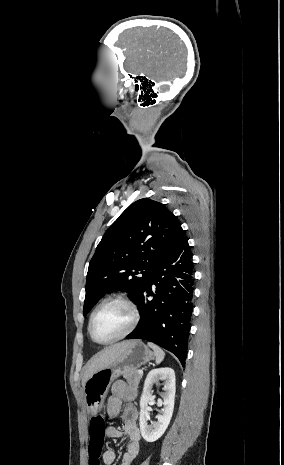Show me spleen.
I'll return each instance as SVG.
<instances>
[{
	"instance_id": "obj_1",
	"label": "spleen",
	"mask_w": 284,
	"mask_h": 465,
	"mask_svg": "<svg viewBox=\"0 0 284 465\" xmlns=\"http://www.w3.org/2000/svg\"><path fill=\"white\" fill-rule=\"evenodd\" d=\"M149 347H151V349H153L154 351V355L156 357V363L157 365H159V363H162L164 357H165V353L164 351H162V349H160V347H157V345H153V343H148Z\"/></svg>"
}]
</instances>
